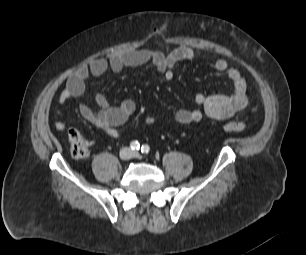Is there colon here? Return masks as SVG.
<instances>
[{
  "label": "colon",
  "mask_w": 306,
  "mask_h": 255,
  "mask_svg": "<svg viewBox=\"0 0 306 255\" xmlns=\"http://www.w3.org/2000/svg\"><path fill=\"white\" fill-rule=\"evenodd\" d=\"M222 128L230 132H242L246 129V125L240 120L231 119L225 122ZM67 135L72 156L79 159L87 157L89 155V141L76 129H70Z\"/></svg>",
  "instance_id": "obj_1"
}]
</instances>
